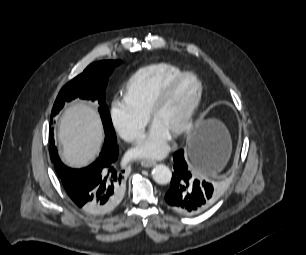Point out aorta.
Listing matches in <instances>:
<instances>
[{
    "instance_id": "762f6f07",
    "label": "aorta",
    "mask_w": 306,
    "mask_h": 255,
    "mask_svg": "<svg viewBox=\"0 0 306 255\" xmlns=\"http://www.w3.org/2000/svg\"><path fill=\"white\" fill-rule=\"evenodd\" d=\"M152 178L156 183L166 185L171 181L172 172L168 166L158 164L152 170Z\"/></svg>"
}]
</instances>
